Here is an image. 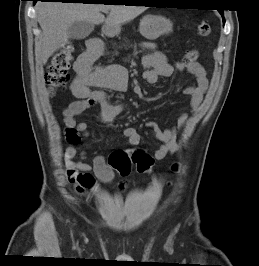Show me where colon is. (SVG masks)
<instances>
[{
    "label": "colon",
    "mask_w": 259,
    "mask_h": 266,
    "mask_svg": "<svg viewBox=\"0 0 259 266\" xmlns=\"http://www.w3.org/2000/svg\"><path fill=\"white\" fill-rule=\"evenodd\" d=\"M197 34L201 37H207L211 32L210 24L207 21L197 23ZM198 57L196 50L188 51L184 56V63L195 62ZM73 60V49L71 46H65L58 51L52 58L50 65L45 74V81L50 93L64 88L70 79L69 69ZM68 139L71 143L78 141L77 133L74 129L67 132ZM154 160L142 150L133 152L116 151L109 158V164L121 175L130 174L133 167L139 173L149 174L152 171ZM175 170L177 166L173 167Z\"/></svg>",
    "instance_id": "obj_1"
}]
</instances>
